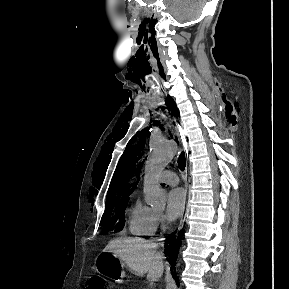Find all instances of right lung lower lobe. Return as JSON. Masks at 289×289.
I'll list each match as a JSON object with an SVG mask.
<instances>
[{"label": "right lung lower lobe", "mask_w": 289, "mask_h": 289, "mask_svg": "<svg viewBox=\"0 0 289 289\" xmlns=\"http://www.w3.org/2000/svg\"><path fill=\"white\" fill-rule=\"evenodd\" d=\"M184 232L180 231L176 234V231L167 237V243L165 244L166 256H168V262L175 267L179 247L181 245V237Z\"/></svg>", "instance_id": "98d812e1"}]
</instances>
